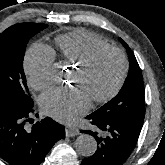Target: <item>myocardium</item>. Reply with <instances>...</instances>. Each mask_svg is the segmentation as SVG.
<instances>
[{
  "mask_svg": "<svg viewBox=\"0 0 165 165\" xmlns=\"http://www.w3.org/2000/svg\"><path fill=\"white\" fill-rule=\"evenodd\" d=\"M104 51H112L119 55L121 59V71L114 86L106 94L93 98L92 101L94 103H105L111 100L121 89L128 72V60L126 54L122 49L109 44L100 45L93 48L80 62L76 64V67L80 70L87 69L94 59Z\"/></svg>",
  "mask_w": 165,
  "mask_h": 165,
  "instance_id": "myocardium-1",
  "label": "myocardium"
}]
</instances>
